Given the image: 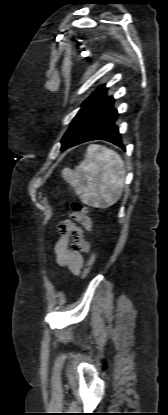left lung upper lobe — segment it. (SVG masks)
I'll use <instances>...</instances> for the list:
<instances>
[{
  "label": "left lung upper lobe",
  "mask_w": 168,
  "mask_h": 415,
  "mask_svg": "<svg viewBox=\"0 0 168 415\" xmlns=\"http://www.w3.org/2000/svg\"><path fill=\"white\" fill-rule=\"evenodd\" d=\"M106 90L105 86H101L85 100L61 140V150L72 147L95 117L114 100L113 97L106 96Z\"/></svg>",
  "instance_id": "1"
}]
</instances>
